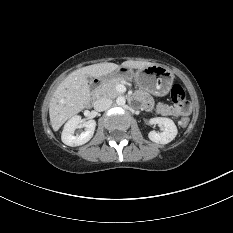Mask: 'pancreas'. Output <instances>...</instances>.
<instances>
[{
    "label": "pancreas",
    "instance_id": "1",
    "mask_svg": "<svg viewBox=\"0 0 233 233\" xmlns=\"http://www.w3.org/2000/svg\"><path fill=\"white\" fill-rule=\"evenodd\" d=\"M126 80L123 78H113L105 82L102 86H100L95 94L98 98H116L122 93L116 90V86L118 84H125Z\"/></svg>",
    "mask_w": 233,
    "mask_h": 233
}]
</instances>
